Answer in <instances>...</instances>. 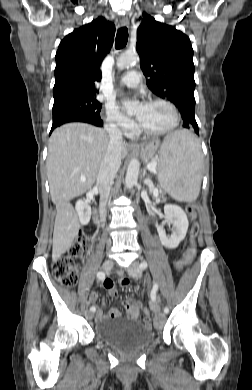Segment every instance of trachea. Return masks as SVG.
I'll return each instance as SVG.
<instances>
[{"label":"trachea","mask_w":252,"mask_h":390,"mask_svg":"<svg viewBox=\"0 0 252 390\" xmlns=\"http://www.w3.org/2000/svg\"><path fill=\"white\" fill-rule=\"evenodd\" d=\"M128 41V29L126 27L120 28L117 31L116 39H115V48L121 49L123 48Z\"/></svg>","instance_id":"trachea-1"}]
</instances>
